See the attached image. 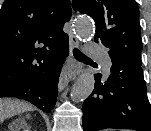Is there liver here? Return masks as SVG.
<instances>
[{
  "mask_svg": "<svg viewBox=\"0 0 151 131\" xmlns=\"http://www.w3.org/2000/svg\"><path fill=\"white\" fill-rule=\"evenodd\" d=\"M29 110H32V107L26 103L13 100H0V123L6 118Z\"/></svg>",
  "mask_w": 151,
  "mask_h": 131,
  "instance_id": "obj_1",
  "label": "liver"
}]
</instances>
